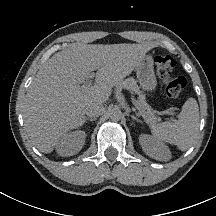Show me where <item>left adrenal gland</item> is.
<instances>
[{
	"label": "left adrenal gland",
	"instance_id": "a2214340",
	"mask_svg": "<svg viewBox=\"0 0 216 216\" xmlns=\"http://www.w3.org/2000/svg\"><path fill=\"white\" fill-rule=\"evenodd\" d=\"M131 118L139 123H142V121L140 119H138V117L131 115Z\"/></svg>",
	"mask_w": 216,
	"mask_h": 216
}]
</instances>
